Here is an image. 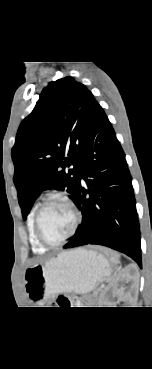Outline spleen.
Wrapping results in <instances>:
<instances>
[{
    "label": "spleen",
    "instance_id": "obj_1",
    "mask_svg": "<svg viewBox=\"0 0 152 369\" xmlns=\"http://www.w3.org/2000/svg\"><path fill=\"white\" fill-rule=\"evenodd\" d=\"M106 254H109L111 256V261L113 263H116L119 259V255L116 252H112V251H105Z\"/></svg>",
    "mask_w": 152,
    "mask_h": 369
}]
</instances>
